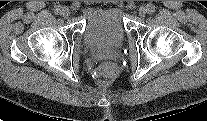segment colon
Masks as SVG:
<instances>
[{"instance_id": "1", "label": "colon", "mask_w": 207, "mask_h": 121, "mask_svg": "<svg viewBox=\"0 0 207 121\" xmlns=\"http://www.w3.org/2000/svg\"><path fill=\"white\" fill-rule=\"evenodd\" d=\"M99 72L106 76V77H113L116 73V67L114 64L112 63H106V64H103L100 69H99Z\"/></svg>"}]
</instances>
